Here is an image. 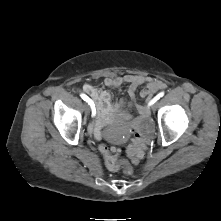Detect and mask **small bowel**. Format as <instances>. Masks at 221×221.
<instances>
[{
    "instance_id": "small-bowel-1",
    "label": "small bowel",
    "mask_w": 221,
    "mask_h": 221,
    "mask_svg": "<svg viewBox=\"0 0 221 221\" xmlns=\"http://www.w3.org/2000/svg\"><path fill=\"white\" fill-rule=\"evenodd\" d=\"M103 84L106 88H118L124 84L128 85V93L131 97L135 96L140 86L144 88L140 91L142 98H148L165 87V84L149 76L128 74L125 76L107 77ZM83 91L90 97L94 104L97 120L91 126L95 138L101 136V129L109 123L115 116L121 119H129V114L124 110L123 102H113L111 95L106 89H98L92 84L83 85ZM137 111L141 116H146V109L143 106H137Z\"/></svg>"
}]
</instances>
